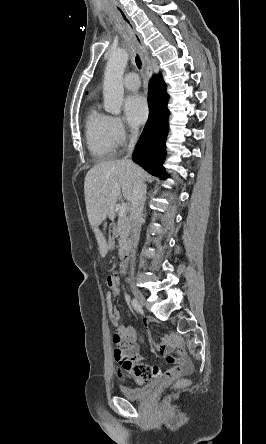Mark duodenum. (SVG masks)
Wrapping results in <instances>:
<instances>
[{
  "label": "duodenum",
  "mask_w": 266,
  "mask_h": 444,
  "mask_svg": "<svg viewBox=\"0 0 266 444\" xmlns=\"http://www.w3.org/2000/svg\"><path fill=\"white\" fill-rule=\"evenodd\" d=\"M111 239H112V240L114 239V232H111ZM121 272H122L123 274H127V273H128V262H127L126 259L122 262V265H121Z\"/></svg>",
  "instance_id": "obj_1"
}]
</instances>
